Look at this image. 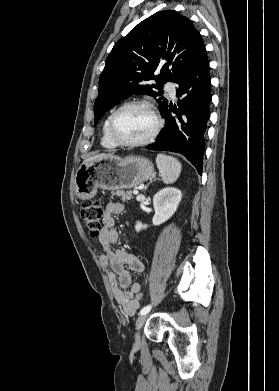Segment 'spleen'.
I'll use <instances>...</instances> for the list:
<instances>
[{
    "instance_id": "1",
    "label": "spleen",
    "mask_w": 279,
    "mask_h": 391,
    "mask_svg": "<svg viewBox=\"0 0 279 391\" xmlns=\"http://www.w3.org/2000/svg\"><path fill=\"white\" fill-rule=\"evenodd\" d=\"M156 164L165 184L174 183L180 175L181 164L171 156L165 154H158L156 157Z\"/></svg>"
}]
</instances>
